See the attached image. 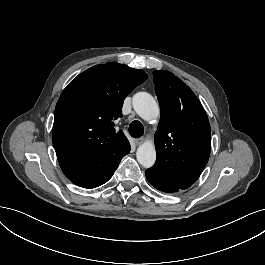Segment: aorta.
Wrapping results in <instances>:
<instances>
[{
  "label": "aorta",
  "instance_id": "obj_1",
  "mask_svg": "<svg viewBox=\"0 0 265 265\" xmlns=\"http://www.w3.org/2000/svg\"><path fill=\"white\" fill-rule=\"evenodd\" d=\"M132 105L135 112L146 121L159 116V106L154 97L147 92H138L132 98ZM136 158L144 168H150L156 161L155 146L152 142H144L136 151Z\"/></svg>",
  "mask_w": 265,
  "mask_h": 265
}]
</instances>
